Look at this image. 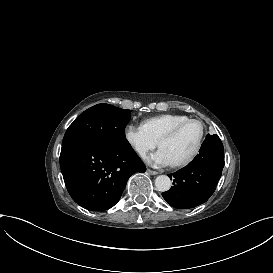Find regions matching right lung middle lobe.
<instances>
[{
    "instance_id": "1",
    "label": "right lung middle lobe",
    "mask_w": 273,
    "mask_h": 273,
    "mask_svg": "<svg viewBox=\"0 0 273 273\" xmlns=\"http://www.w3.org/2000/svg\"><path fill=\"white\" fill-rule=\"evenodd\" d=\"M130 116V110L105 103L95 105L81 113L68 127L62 146L85 141L129 149L125 127Z\"/></svg>"
}]
</instances>
